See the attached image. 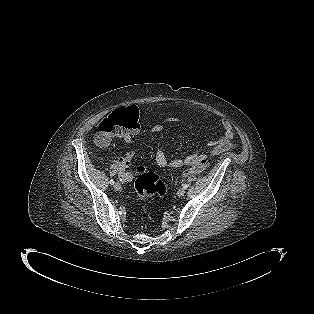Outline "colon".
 Returning a JSON list of instances; mask_svg holds the SVG:
<instances>
[{
	"label": "colon",
	"mask_w": 314,
	"mask_h": 314,
	"mask_svg": "<svg viewBox=\"0 0 314 314\" xmlns=\"http://www.w3.org/2000/svg\"><path fill=\"white\" fill-rule=\"evenodd\" d=\"M139 128V114L134 106H127L112 112L106 117L98 127L96 139L99 142H105L114 133L131 132ZM207 158H201L190 167L183 171V176L193 173H200L209 166ZM135 190L140 198L151 195L163 197L166 194V185L152 171L145 167L137 170L135 181Z\"/></svg>",
	"instance_id": "1"
}]
</instances>
